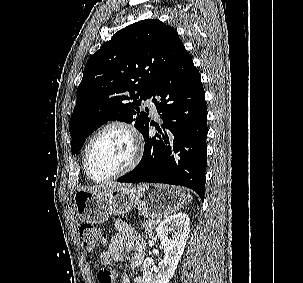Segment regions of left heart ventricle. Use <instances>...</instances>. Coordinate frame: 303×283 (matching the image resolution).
Instances as JSON below:
<instances>
[{
	"instance_id": "b2bd125f",
	"label": "left heart ventricle",
	"mask_w": 303,
	"mask_h": 283,
	"mask_svg": "<svg viewBox=\"0 0 303 283\" xmlns=\"http://www.w3.org/2000/svg\"><path fill=\"white\" fill-rule=\"evenodd\" d=\"M133 145L126 132L110 129L93 143L88 157V166L93 177L101 179L122 169L130 161Z\"/></svg>"
}]
</instances>
